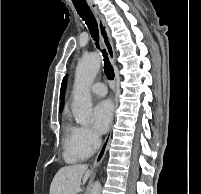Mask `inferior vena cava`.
Returning <instances> with one entry per match:
<instances>
[{"mask_svg": "<svg viewBox=\"0 0 201 194\" xmlns=\"http://www.w3.org/2000/svg\"><path fill=\"white\" fill-rule=\"evenodd\" d=\"M101 144V139L97 138L96 142H95V147L98 148Z\"/></svg>", "mask_w": 201, "mask_h": 194, "instance_id": "1", "label": "inferior vena cava"}]
</instances>
